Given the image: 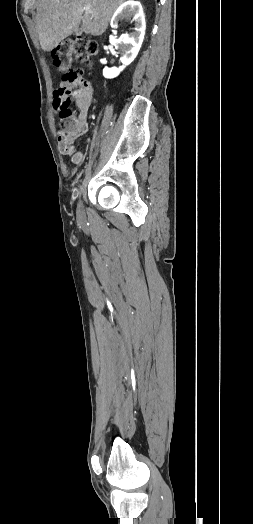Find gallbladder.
<instances>
[{
    "instance_id": "1",
    "label": "gallbladder",
    "mask_w": 253,
    "mask_h": 524,
    "mask_svg": "<svg viewBox=\"0 0 253 524\" xmlns=\"http://www.w3.org/2000/svg\"><path fill=\"white\" fill-rule=\"evenodd\" d=\"M81 32H82V31H81V28H79V29H77V30L75 31L76 34L81 33Z\"/></svg>"
}]
</instances>
